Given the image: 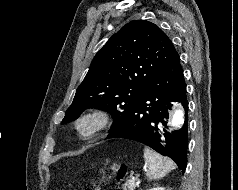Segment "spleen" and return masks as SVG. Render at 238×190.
Listing matches in <instances>:
<instances>
[{"mask_svg": "<svg viewBox=\"0 0 238 190\" xmlns=\"http://www.w3.org/2000/svg\"><path fill=\"white\" fill-rule=\"evenodd\" d=\"M144 159L149 165L146 173L149 180L160 179L176 168L175 163L171 159L161 156L148 147L144 148Z\"/></svg>", "mask_w": 238, "mask_h": 190, "instance_id": "1", "label": "spleen"}]
</instances>
